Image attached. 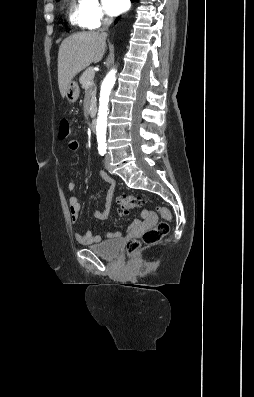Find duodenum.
<instances>
[{
	"label": "duodenum",
	"instance_id": "1",
	"mask_svg": "<svg viewBox=\"0 0 254 397\" xmlns=\"http://www.w3.org/2000/svg\"><path fill=\"white\" fill-rule=\"evenodd\" d=\"M91 130L96 131V118H93L90 124Z\"/></svg>",
	"mask_w": 254,
	"mask_h": 397
}]
</instances>
